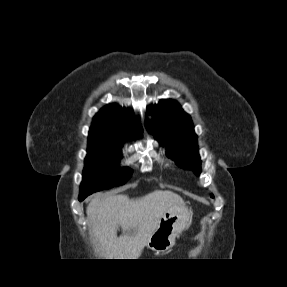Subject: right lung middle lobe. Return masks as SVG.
Segmentation results:
<instances>
[{
  "label": "right lung middle lobe",
  "mask_w": 287,
  "mask_h": 287,
  "mask_svg": "<svg viewBox=\"0 0 287 287\" xmlns=\"http://www.w3.org/2000/svg\"><path fill=\"white\" fill-rule=\"evenodd\" d=\"M122 143L88 140L83 181L79 196L123 185L132 175L130 168H119Z\"/></svg>",
  "instance_id": "obj_1"
}]
</instances>
